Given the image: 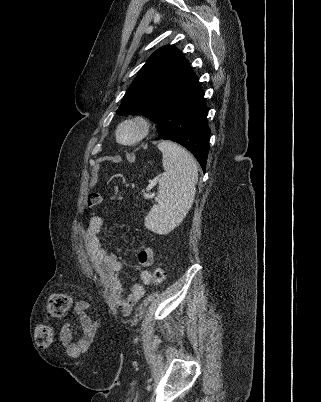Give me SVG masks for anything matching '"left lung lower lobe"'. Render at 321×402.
<instances>
[{
	"label": "left lung lower lobe",
	"instance_id": "0a47b994",
	"mask_svg": "<svg viewBox=\"0 0 321 402\" xmlns=\"http://www.w3.org/2000/svg\"><path fill=\"white\" fill-rule=\"evenodd\" d=\"M208 107L197 76L192 72L166 97L159 110V137L187 148L205 171L209 151Z\"/></svg>",
	"mask_w": 321,
	"mask_h": 402
}]
</instances>
